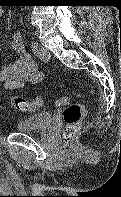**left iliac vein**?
<instances>
[{"mask_svg": "<svg viewBox=\"0 0 121 197\" xmlns=\"http://www.w3.org/2000/svg\"><path fill=\"white\" fill-rule=\"evenodd\" d=\"M37 55L42 61H45V62L48 61L51 57L50 51L43 46H39L37 50Z\"/></svg>", "mask_w": 121, "mask_h": 197, "instance_id": "obj_1", "label": "left iliac vein"}]
</instances>
